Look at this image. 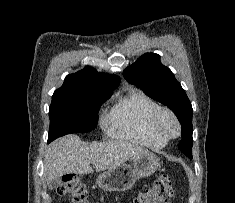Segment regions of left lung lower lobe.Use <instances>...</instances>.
<instances>
[{"instance_id": "obj_1", "label": "left lung lower lobe", "mask_w": 235, "mask_h": 203, "mask_svg": "<svg viewBox=\"0 0 235 203\" xmlns=\"http://www.w3.org/2000/svg\"><path fill=\"white\" fill-rule=\"evenodd\" d=\"M182 136H183V137H185V136H186V134H185V133H182Z\"/></svg>"}]
</instances>
